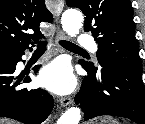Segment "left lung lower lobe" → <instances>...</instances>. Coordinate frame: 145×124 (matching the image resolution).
Here are the masks:
<instances>
[{
    "mask_svg": "<svg viewBox=\"0 0 145 124\" xmlns=\"http://www.w3.org/2000/svg\"><path fill=\"white\" fill-rule=\"evenodd\" d=\"M88 72L75 103L84 112L83 119L101 115L128 118L145 124V87L142 72L133 68L109 64L97 71L83 62Z\"/></svg>",
    "mask_w": 145,
    "mask_h": 124,
    "instance_id": "1",
    "label": "left lung lower lobe"
}]
</instances>
